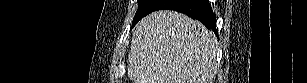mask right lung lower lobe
Instances as JSON below:
<instances>
[{
    "label": "right lung lower lobe",
    "instance_id": "1",
    "mask_svg": "<svg viewBox=\"0 0 307 83\" xmlns=\"http://www.w3.org/2000/svg\"><path fill=\"white\" fill-rule=\"evenodd\" d=\"M161 9L178 11L191 18L198 19L217 35L216 16L208 0H154L149 13Z\"/></svg>",
    "mask_w": 307,
    "mask_h": 83
}]
</instances>
